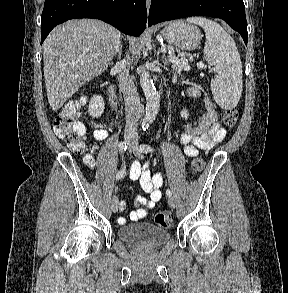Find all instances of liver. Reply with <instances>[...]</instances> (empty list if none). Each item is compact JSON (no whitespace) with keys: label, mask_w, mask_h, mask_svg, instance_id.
I'll return each mask as SVG.
<instances>
[{"label":"liver","mask_w":288,"mask_h":293,"mask_svg":"<svg viewBox=\"0 0 288 293\" xmlns=\"http://www.w3.org/2000/svg\"><path fill=\"white\" fill-rule=\"evenodd\" d=\"M120 32L94 19L69 20L43 43L44 78L53 111L83 85L103 73L120 44ZM93 54L97 56L92 57Z\"/></svg>","instance_id":"1"}]
</instances>
